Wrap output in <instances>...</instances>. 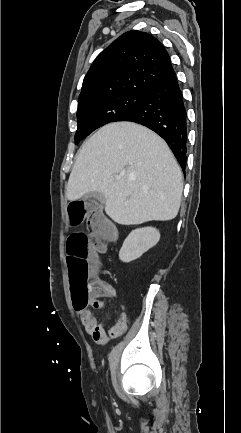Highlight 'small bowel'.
Segmentation results:
<instances>
[{"mask_svg": "<svg viewBox=\"0 0 241 433\" xmlns=\"http://www.w3.org/2000/svg\"><path fill=\"white\" fill-rule=\"evenodd\" d=\"M103 291L89 303L86 312H78L79 318L84 325L86 332L97 344H105L109 339L121 336L127 328V317L121 313L117 322L107 331V323L99 322L92 309H101L105 303L100 298H107L112 301L117 299L116 290L107 282L101 281Z\"/></svg>", "mask_w": 241, "mask_h": 433, "instance_id": "small-bowel-1", "label": "small bowel"}]
</instances>
